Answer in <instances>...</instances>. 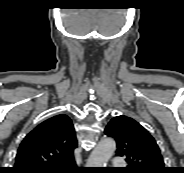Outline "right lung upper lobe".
I'll list each match as a JSON object with an SVG mask.
<instances>
[{"instance_id":"right-lung-upper-lobe-1","label":"right lung upper lobe","mask_w":184,"mask_h":173,"mask_svg":"<svg viewBox=\"0 0 184 173\" xmlns=\"http://www.w3.org/2000/svg\"><path fill=\"white\" fill-rule=\"evenodd\" d=\"M77 139L67 115L51 117L33 129L22 141L14 173H53L74 162Z\"/></svg>"}]
</instances>
